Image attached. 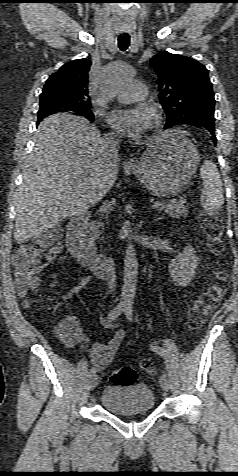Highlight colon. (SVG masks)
Masks as SVG:
<instances>
[{
	"mask_svg": "<svg viewBox=\"0 0 238 476\" xmlns=\"http://www.w3.org/2000/svg\"><path fill=\"white\" fill-rule=\"evenodd\" d=\"M200 225L212 253L219 255L223 250V224L220 217L206 213L201 216ZM60 229L54 227L38 237L33 243L20 246L13 254L16 288L25 296L40 284L39 273L59 253ZM225 274L217 272L212 285L203 292L188 311V322L192 328L200 327L211 310L220 302L225 293ZM141 367L150 372V364L141 360ZM110 381L117 385H129L136 381L137 372L132 367H121L110 373Z\"/></svg>",
	"mask_w": 238,
	"mask_h": 476,
	"instance_id": "obj_1",
	"label": "colon"
}]
</instances>
